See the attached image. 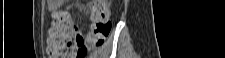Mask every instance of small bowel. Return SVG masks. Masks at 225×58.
Instances as JSON below:
<instances>
[{
	"label": "small bowel",
	"mask_w": 225,
	"mask_h": 58,
	"mask_svg": "<svg viewBox=\"0 0 225 58\" xmlns=\"http://www.w3.org/2000/svg\"><path fill=\"white\" fill-rule=\"evenodd\" d=\"M60 5V1L58 0H50L49 1V8L50 9H55Z\"/></svg>",
	"instance_id": "1"
}]
</instances>
